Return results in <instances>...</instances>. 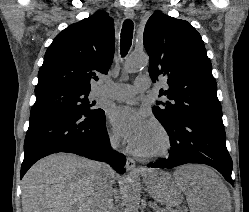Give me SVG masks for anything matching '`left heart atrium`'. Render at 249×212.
I'll list each match as a JSON object with an SVG mask.
<instances>
[{
    "instance_id": "1",
    "label": "left heart atrium",
    "mask_w": 249,
    "mask_h": 212,
    "mask_svg": "<svg viewBox=\"0 0 249 212\" xmlns=\"http://www.w3.org/2000/svg\"><path fill=\"white\" fill-rule=\"evenodd\" d=\"M115 133L135 152H140L148 127L144 116L131 106H114L109 115Z\"/></svg>"
}]
</instances>
